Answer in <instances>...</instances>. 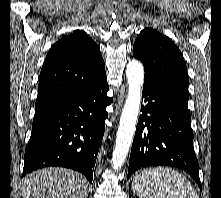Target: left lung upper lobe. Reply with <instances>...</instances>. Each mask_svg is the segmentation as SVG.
I'll use <instances>...</instances> for the list:
<instances>
[{
    "label": "left lung upper lobe",
    "mask_w": 221,
    "mask_h": 198,
    "mask_svg": "<svg viewBox=\"0 0 221 198\" xmlns=\"http://www.w3.org/2000/svg\"><path fill=\"white\" fill-rule=\"evenodd\" d=\"M133 56L143 62L149 80L174 102L188 110V74L180 50L168 37L152 28L140 32Z\"/></svg>",
    "instance_id": "left-lung-upper-lobe-1"
}]
</instances>
